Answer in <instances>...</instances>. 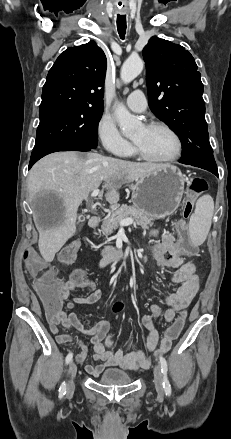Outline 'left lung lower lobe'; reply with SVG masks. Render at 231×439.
<instances>
[{
	"instance_id": "left-lung-lower-lobe-1",
	"label": "left lung lower lobe",
	"mask_w": 231,
	"mask_h": 439,
	"mask_svg": "<svg viewBox=\"0 0 231 439\" xmlns=\"http://www.w3.org/2000/svg\"><path fill=\"white\" fill-rule=\"evenodd\" d=\"M180 163H182V162H180ZM183 164H188V165H191V166H195V167H199V168L205 169V170L213 173L214 175L218 176L217 167H211V166H208V165H205V164H202V163H198V162H188V163H183Z\"/></svg>"
}]
</instances>
